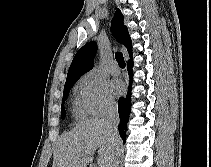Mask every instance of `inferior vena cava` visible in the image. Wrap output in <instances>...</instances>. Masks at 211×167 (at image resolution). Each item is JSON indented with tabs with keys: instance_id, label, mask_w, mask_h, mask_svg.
Masks as SVG:
<instances>
[{
	"instance_id": "1",
	"label": "inferior vena cava",
	"mask_w": 211,
	"mask_h": 167,
	"mask_svg": "<svg viewBox=\"0 0 211 167\" xmlns=\"http://www.w3.org/2000/svg\"><path fill=\"white\" fill-rule=\"evenodd\" d=\"M119 115L116 104H109L106 108V114L104 118V125L111 135L113 142L117 143L120 139L118 134ZM120 149L117 148L115 154V160L112 167H118L119 164Z\"/></svg>"
}]
</instances>
